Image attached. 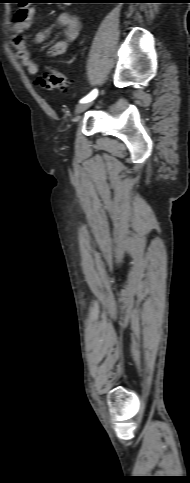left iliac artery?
Wrapping results in <instances>:
<instances>
[{
	"label": "left iliac artery",
	"instance_id": "obj_1",
	"mask_svg": "<svg viewBox=\"0 0 190 483\" xmlns=\"http://www.w3.org/2000/svg\"><path fill=\"white\" fill-rule=\"evenodd\" d=\"M97 94H98L97 89L92 90L87 96H85L83 99L80 100V103H87L94 100L97 97Z\"/></svg>",
	"mask_w": 190,
	"mask_h": 483
}]
</instances>
